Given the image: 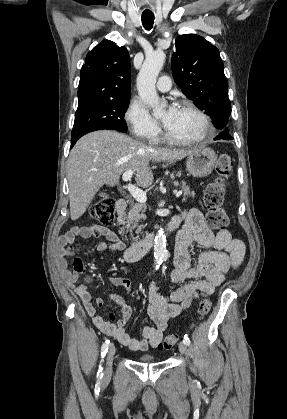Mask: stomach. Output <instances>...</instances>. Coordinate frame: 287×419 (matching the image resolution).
<instances>
[{
  "label": "stomach",
  "instance_id": "stomach-1",
  "mask_svg": "<svg viewBox=\"0 0 287 419\" xmlns=\"http://www.w3.org/2000/svg\"><path fill=\"white\" fill-rule=\"evenodd\" d=\"M217 162V155L207 147H199L187 156L188 172L196 178L206 177L213 171Z\"/></svg>",
  "mask_w": 287,
  "mask_h": 419
}]
</instances>
